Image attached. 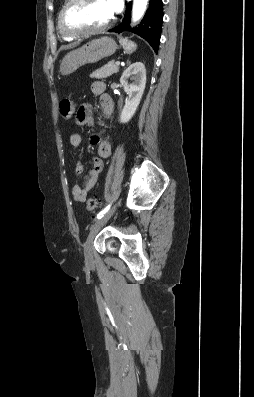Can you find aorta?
I'll return each instance as SVG.
<instances>
[{
  "mask_svg": "<svg viewBox=\"0 0 254 397\" xmlns=\"http://www.w3.org/2000/svg\"><path fill=\"white\" fill-rule=\"evenodd\" d=\"M148 0H134L132 9V20L138 21L145 13Z\"/></svg>",
  "mask_w": 254,
  "mask_h": 397,
  "instance_id": "1",
  "label": "aorta"
}]
</instances>
